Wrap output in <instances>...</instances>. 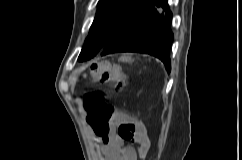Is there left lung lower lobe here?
Returning a JSON list of instances; mask_svg holds the SVG:
<instances>
[{
  "instance_id": "0a47b994",
  "label": "left lung lower lobe",
  "mask_w": 242,
  "mask_h": 160,
  "mask_svg": "<svg viewBox=\"0 0 242 160\" xmlns=\"http://www.w3.org/2000/svg\"><path fill=\"white\" fill-rule=\"evenodd\" d=\"M171 20L168 0H156L104 46L101 56L115 52L146 53L159 58L170 71Z\"/></svg>"
}]
</instances>
